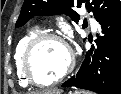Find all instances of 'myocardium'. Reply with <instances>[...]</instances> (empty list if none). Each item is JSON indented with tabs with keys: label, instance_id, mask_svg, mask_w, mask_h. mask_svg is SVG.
Returning <instances> with one entry per match:
<instances>
[{
	"label": "myocardium",
	"instance_id": "obj_1",
	"mask_svg": "<svg viewBox=\"0 0 121 94\" xmlns=\"http://www.w3.org/2000/svg\"><path fill=\"white\" fill-rule=\"evenodd\" d=\"M54 40L59 42L67 51L68 63L63 72L49 82H39L33 76L30 69V60L35 48L43 41ZM75 66V56L71 46L67 41L58 34L55 33H40L29 41L22 55V72L26 81L36 87H50L62 82L66 77L70 75Z\"/></svg>",
	"mask_w": 121,
	"mask_h": 94
}]
</instances>
